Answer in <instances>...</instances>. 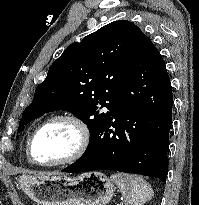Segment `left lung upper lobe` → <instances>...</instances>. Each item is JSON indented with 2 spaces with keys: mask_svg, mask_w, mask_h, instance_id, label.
Returning <instances> with one entry per match:
<instances>
[{
  "mask_svg": "<svg viewBox=\"0 0 199 205\" xmlns=\"http://www.w3.org/2000/svg\"><path fill=\"white\" fill-rule=\"evenodd\" d=\"M144 36L134 23L119 20L68 46L36 88L18 131L45 113L70 111L88 126V150L109 118L102 108L116 99Z\"/></svg>",
  "mask_w": 199,
  "mask_h": 205,
  "instance_id": "5c2ea615",
  "label": "left lung upper lobe"
}]
</instances>
